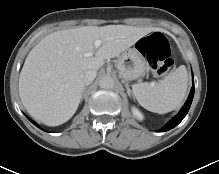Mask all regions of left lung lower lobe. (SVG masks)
I'll return each instance as SVG.
<instances>
[{"instance_id": "0a47b994", "label": "left lung lower lobe", "mask_w": 219, "mask_h": 174, "mask_svg": "<svg viewBox=\"0 0 219 174\" xmlns=\"http://www.w3.org/2000/svg\"><path fill=\"white\" fill-rule=\"evenodd\" d=\"M193 96H194V86L191 89L188 100L186 101L184 107L181 109L179 114L173 120H171L163 129H161L160 130L161 132H165V131H168V130L174 128L175 126H177L184 119V117L188 113V110L191 106Z\"/></svg>"}]
</instances>
